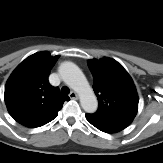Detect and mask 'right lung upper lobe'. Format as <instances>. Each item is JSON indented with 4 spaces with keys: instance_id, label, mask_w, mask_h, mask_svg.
<instances>
[{
    "instance_id": "right-lung-upper-lobe-1",
    "label": "right lung upper lobe",
    "mask_w": 163,
    "mask_h": 163,
    "mask_svg": "<svg viewBox=\"0 0 163 163\" xmlns=\"http://www.w3.org/2000/svg\"><path fill=\"white\" fill-rule=\"evenodd\" d=\"M60 56L35 53L20 63L5 86V103L10 115L20 124L47 121L57 116L65 101L57 87L48 82L50 70Z\"/></svg>"
}]
</instances>
